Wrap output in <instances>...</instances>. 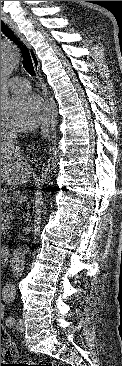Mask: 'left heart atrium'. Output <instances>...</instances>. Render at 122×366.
Instances as JSON below:
<instances>
[{"label":"left heart atrium","mask_w":122,"mask_h":366,"mask_svg":"<svg viewBox=\"0 0 122 366\" xmlns=\"http://www.w3.org/2000/svg\"><path fill=\"white\" fill-rule=\"evenodd\" d=\"M44 115V105L36 95L25 94L11 99L8 123L19 130L35 128Z\"/></svg>","instance_id":"left-heart-atrium-1"}]
</instances>
